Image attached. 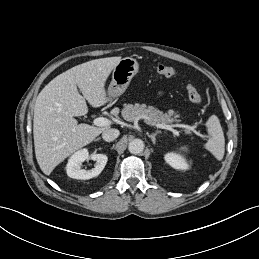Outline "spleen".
Listing matches in <instances>:
<instances>
[{
	"label": "spleen",
	"instance_id": "1",
	"mask_svg": "<svg viewBox=\"0 0 259 259\" xmlns=\"http://www.w3.org/2000/svg\"><path fill=\"white\" fill-rule=\"evenodd\" d=\"M208 130L210 137L206 143V148L215 156L217 160H221L225 152V139L221 125L216 117L212 116L208 121ZM186 151L187 147H182Z\"/></svg>",
	"mask_w": 259,
	"mask_h": 259
}]
</instances>
